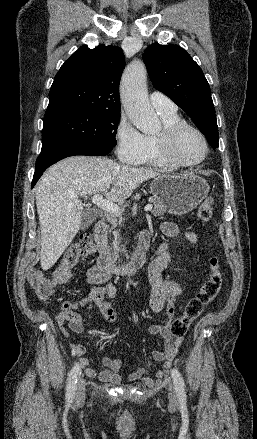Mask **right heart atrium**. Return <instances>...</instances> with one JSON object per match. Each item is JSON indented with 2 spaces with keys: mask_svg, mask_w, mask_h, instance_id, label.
I'll return each instance as SVG.
<instances>
[{
  "mask_svg": "<svg viewBox=\"0 0 257 439\" xmlns=\"http://www.w3.org/2000/svg\"><path fill=\"white\" fill-rule=\"evenodd\" d=\"M116 151L123 162L135 163L145 150L144 135L122 114L116 128Z\"/></svg>",
  "mask_w": 257,
  "mask_h": 439,
  "instance_id": "obj_1",
  "label": "right heart atrium"
}]
</instances>
